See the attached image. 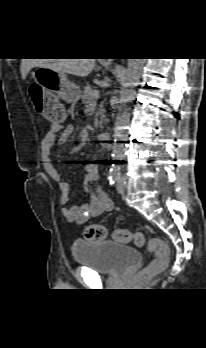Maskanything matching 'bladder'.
<instances>
[{
	"label": "bladder",
	"instance_id": "31cf9c89",
	"mask_svg": "<svg viewBox=\"0 0 206 348\" xmlns=\"http://www.w3.org/2000/svg\"><path fill=\"white\" fill-rule=\"evenodd\" d=\"M72 252L78 265L105 275L120 274L141 261L136 248L114 241H75Z\"/></svg>",
	"mask_w": 206,
	"mask_h": 348
}]
</instances>
